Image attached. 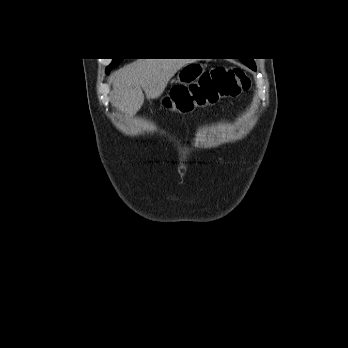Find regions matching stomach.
Segmentation results:
<instances>
[{"label":"stomach","mask_w":348,"mask_h":348,"mask_svg":"<svg viewBox=\"0 0 348 348\" xmlns=\"http://www.w3.org/2000/svg\"><path fill=\"white\" fill-rule=\"evenodd\" d=\"M203 72L204 68L199 63H191L183 66L178 72L176 86L187 88L189 85L194 84ZM210 104L211 102L201 94L193 96L192 93H189L187 100L182 104L180 110L184 113H190L197 107H204Z\"/></svg>","instance_id":"1"}]
</instances>
